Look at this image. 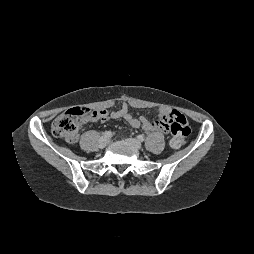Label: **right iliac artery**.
Here are the masks:
<instances>
[{
	"instance_id": "obj_1",
	"label": "right iliac artery",
	"mask_w": 254,
	"mask_h": 254,
	"mask_svg": "<svg viewBox=\"0 0 254 254\" xmlns=\"http://www.w3.org/2000/svg\"><path fill=\"white\" fill-rule=\"evenodd\" d=\"M104 136H105L106 138H110V137L112 136V132H111V131H106V132L104 133Z\"/></svg>"
}]
</instances>
